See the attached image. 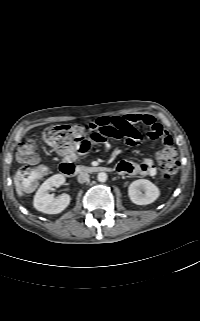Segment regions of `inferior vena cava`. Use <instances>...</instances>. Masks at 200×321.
<instances>
[{"instance_id": "1", "label": "inferior vena cava", "mask_w": 200, "mask_h": 321, "mask_svg": "<svg viewBox=\"0 0 200 321\" xmlns=\"http://www.w3.org/2000/svg\"><path fill=\"white\" fill-rule=\"evenodd\" d=\"M77 180L79 183H85L89 180V174L86 172H81L78 177Z\"/></svg>"}]
</instances>
